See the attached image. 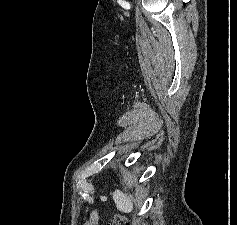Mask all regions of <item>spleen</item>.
<instances>
[{
  "mask_svg": "<svg viewBox=\"0 0 237 225\" xmlns=\"http://www.w3.org/2000/svg\"><path fill=\"white\" fill-rule=\"evenodd\" d=\"M113 200L116 204V208L124 213H130L133 210L132 199L127 195L122 193L120 190H116L112 193Z\"/></svg>",
  "mask_w": 237,
  "mask_h": 225,
  "instance_id": "spleen-1",
  "label": "spleen"
}]
</instances>
